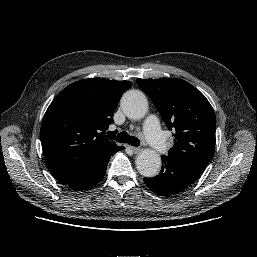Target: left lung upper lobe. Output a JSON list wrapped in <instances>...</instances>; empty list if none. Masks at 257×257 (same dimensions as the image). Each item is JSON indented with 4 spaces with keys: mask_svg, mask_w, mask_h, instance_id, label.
I'll list each match as a JSON object with an SVG mask.
<instances>
[{
    "mask_svg": "<svg viewBox=\"0 0 257 257\" xmlns=\"http://www.w3.org/2000/svg\"><path fill=\"white\" fill-rule=\"evenodd\" d=\"M137 84L175 131L168 157L203 172L215 150L216 117L209 101L181 79H137Z\"/></svg>",
    "mask_w": 257,
    "mask_h": 257,
    "instance_id": "1",
    "label": "left lung upper lobe"
}]
</instances>
